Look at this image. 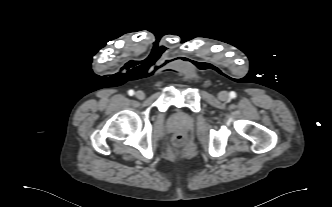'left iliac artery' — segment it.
<instances>
[{
	"label": "left iliac artery",
	"mask_w": 332,
	"mask_h": 207,
	"mask_svg": "<svg viewBox=\"0 0 332 207\" xmlns=\"http://www.w3.org/2000/svg\"><path fill=\"white\" fill-rule=\"evenodd\" d=\"M230 97H231V98H235V97H236V93H235L234 91H231V92H230Z\"/></svg>",
	"instance_id": "left-iliac-artery-1"
}]
</instances>
